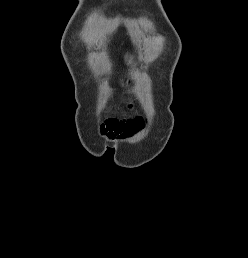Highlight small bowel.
<instances>
[{"instance_id":"c3829d8e","label":"small bowel","mask_w":248,"mask_h":258,"mask_svg":"<svg viewBox=\"0 0 248 258\" xmlns=\"http://www.w3.org/2000/svg\"><path fill=\"white\" fill-rule=\"evenodd\" d=\"M112 121H115V123H112ZM112 121L110 122V136L112 138H117L123 135L130 134L134 130L144 125V120L141 118L127 119L123 121L113 119Z\"/></svg>"}]
</instances>
